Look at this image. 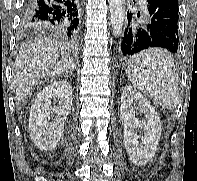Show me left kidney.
Instances as JSON below:
<instances>
[{
	"label": "left kidney",
	"instance_id": "left-kidney-1",
	"mask_svg": "<svg viewBox=\"0 0 197 181\" xmlns=\"http://www.w3.org/2000/svg\"><path fill=\"white\" fill-rule=\"evenodd\" d=\"M133 101L138 103L145 120L135 118ZM120 116L124 121V144L131 162L137 166H144L155 155L161 137V121L149 101L134 87L126 86L121 95ZM143 129L144 136L141 143L137 140L135 131Z\"/></svg>",
	"mask_w": 197,
	"mask_h": 181
}]
</instances>
